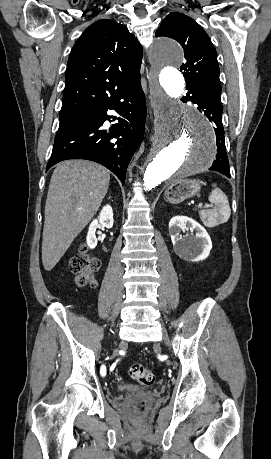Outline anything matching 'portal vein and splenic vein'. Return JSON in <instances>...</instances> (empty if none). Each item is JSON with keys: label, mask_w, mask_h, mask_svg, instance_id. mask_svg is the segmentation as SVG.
<instances>
[{"label": "portal vein and splenic vein", "mask_w": 271, "mask_h": 459, "mask_svg": "<svg viewBox=\"0 0 271 459\" xmlns=\"http://www.w3.org/2000/svg\"><path fill=\"white\" fill-rule=\"evenodd\" d=\"M203 206H204V207H203L204 209H205V208H207V209H208V208H209V209H211V208H212V207H214L215 205H214V204H212V205H210V204H209V205H207V204H204ZM208 206H209V207H208ZM211 206H212V207H211ZM198 208H202V204H201V206H198Z\"/></svg>", "instance_id": "obj_1"}]
</instances>
